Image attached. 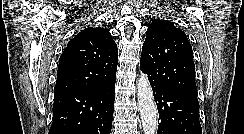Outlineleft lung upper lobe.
Segmentation results:
<instances>
[{"label":"left lung upper lobe","instance_id":"1","mask_svg":"<svg viewBox=\"0 0 244 134\" xmlns=\"http://www.w3.org/2000/svg\"><path fill=\"white\" fill-rule=\"evenodd\" d=\"M140 69L152 87L196 93L192 46L186 34L168 20L157 19L149 25Z\"/></svg>","mask_w":244,"mask_h":134}]
</instances>
